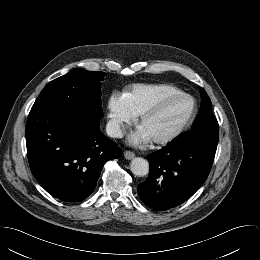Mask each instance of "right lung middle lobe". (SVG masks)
<instances>
[{
  "label": "right lung middle lobe",
  "mask_w": 260,
  "mask_h": 260,
  "mask_svg": "<svg viewBox=\"0 0 260 260\" xmlns=\"http://www.w3.org/2000/svg\"><path fill=\"white\" fill-rule=\"evenodd\" d=\"M105 73L76 68L49 82L31 110L42 108L77 109L103 116L101 83Z\"/></svg>",
  "instance_id": "right-lung-middle-lobe-1"
}]
</instances>
